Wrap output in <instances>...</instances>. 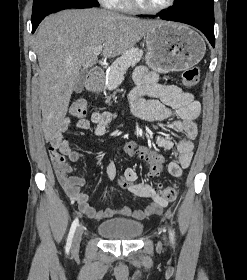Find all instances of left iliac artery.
Wrapping results in <instances>:
<instances>
[{
	"mask_svg": "<svg viewBox=\"0 0 247 280\" xmlns=\"http://www.w3.org/2000/svg\"><path fill=\"white\" fill-rule=\"evenodd\" d=\"M169 236H170L171 242L174 243V240H175V238H174V233L171 231L170 228H169Z\"/></svg>",
	"mask_w": 247,
	"mask_h": 280,
	"instance_id": "1",
	"label": "left iliac artery"
}]
</instances>
